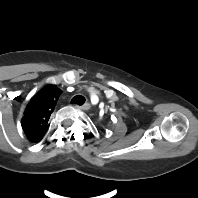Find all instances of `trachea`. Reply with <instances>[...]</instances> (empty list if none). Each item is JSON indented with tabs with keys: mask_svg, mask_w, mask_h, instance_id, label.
Segmentation results:
<instances>
[{
	"mask_svg": "<svg viewBox=\"0 0 198 198\" xmlns=\"http://www.w3.org/2000/svg\"><path fill=\"white\" fill-rule=\"evenodd\" d=\"M85 102V98L81 95H76L72 98L71 103L77 105H83Z\"/></svg>",
	"mask_w": 198,
	"mask_h": 198,
	"instance_id": "1",
	"label": "trachea"
}]
</instances>
